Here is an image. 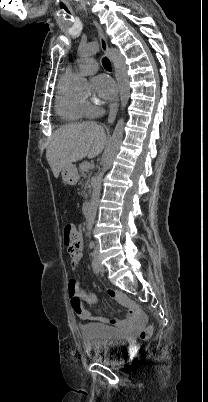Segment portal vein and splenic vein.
I'll return each mask as SVG.
<instances>
[{"mask_svg":"<svg viewBox=\"0 0 208 402\" xmlns=\"http://www.w3.org/2000/svg\"><path fill=\"white\" fill-rule=\"evenodd\" d=\"M89 168H90L89 162H83V164H82V169H83V170H89Z\"/></svg>","mask_w":208,"mask_h":402,"instance_id":"1","label":"portal vein and splenic vein"}]
</instances>
